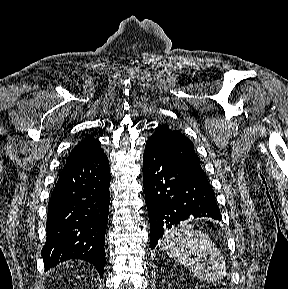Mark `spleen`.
<instances>
[{
	"instance_id": "spleen-1",
	"label": "spleen",
	"mask_w": 288,
	"mask_h": 289,
	"mask_svg": "<svg viewBox=\"0 0 288 289\" xmlns=\"http://www.w3.org/2000/svg\"><path fill=\"white\" fill-rule=\"evenodd\" d=\"M163 250L206 283L221 281L226 275L225 260L212 240L192 224L182 222L165 231Z\"/></svg>"
}]
</instances>
